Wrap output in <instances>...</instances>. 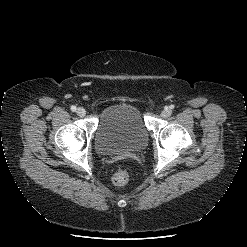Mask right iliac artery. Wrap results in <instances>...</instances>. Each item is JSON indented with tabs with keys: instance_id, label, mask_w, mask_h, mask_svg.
Masks as SVG:
<instances>
[{
	"instance_id": "1",
	"label": "right iliac artery",
	"mask_w": 247,
	"mask_h": 247,
	"mask_svg": "<svg viewBox=\"0 0 247 247\" xmlns=\"http://www.w3.org/2000/svg\"><path fill=\"white\" fill-rule=\"evenodd\" d=\"M71 110H72L73 112H75V111H76V107H75V106H71Z\"/></svg>"
}]
</instances>
